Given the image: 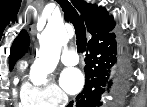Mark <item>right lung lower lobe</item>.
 Returning a JSON list of instances; mask_svg holds the SVG:
<instances>
[{
    "label": "right lung lower lobe",
    "instance_id": "98d812e1",
    "mask_svg": "<svg viewBox=\"0 0 147 107\" xmlns=\"http://www.w3.org/2000/svg\"><path fill=\"white\" fill-rule=\"evenodd\" d=\"M89 54L84 68L86 86L84 90L67 105V107H96L101 94L107 89L110 68L116 63V40L114 33L108 35L97 44L88 46ZM126 71H122V85L125 84ZM110 87V86H109Z\"/></svg>",
    "mask_w": 147,
    "mask_h": 107
}]
</instances>
